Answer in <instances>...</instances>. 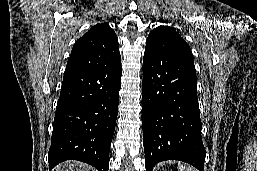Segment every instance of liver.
<instances>
[{"label":"liver","mask_w":257,"mask_h":171,"mask_svg":"<svg viewBox=\"0 0 257 171\" xmlns=\"http://www.w3.org/2000/svg\"><path fill=\"white\" fill-rule=\"evenodd\" d=\"M54 171H89V167L81 162L67 161L60 164Z\"/></svg>","instance_id":"1"}]
</instances>
